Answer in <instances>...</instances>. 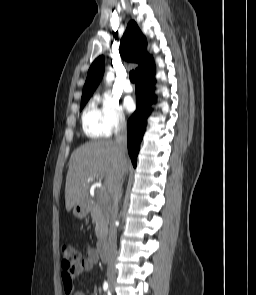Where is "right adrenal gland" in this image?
I'll return each mask as SVG.
<instances>
[{
	"label": "right adrenal gland",
	"mask_w": 256,
	"mask_h": 295,
	"mask_svg": "<svg viewBox=\"0 0 256 295\" xmlns=\"http://www.w3.org/2000/svg\"><path fill=\"white\" fill-rule=\"evenodd\" d=\"M123 183H124V181L121 184V196H122V193H123Z\"/></svg>",
	"instance_id": "obj_1"
}]
</instances>
